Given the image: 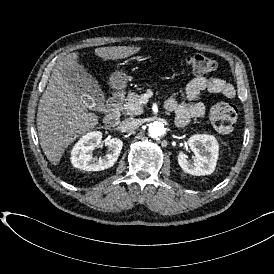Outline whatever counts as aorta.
<instances>
[{
	"label": "aorta",
	"instance_id": "762f6f07",
	"mask_svg": "<svg viewBox=\"0 0 274 274\" xmlns=\"http://www.w3.org/2000/svg\"><path fill=\"white\" fill-rule=\"evenodd\" d=\"M149 135L152 138L161 137L165 133L164 124L160 121H153L149 124Z\"/></svg>",
	"mask_w": 274,
	"mask_h": 274
}]
</instances>
